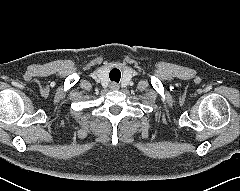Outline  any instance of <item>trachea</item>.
I'll return each instance as SVG.
<instances>
[{
  "mask_svg": "<svg viewBox=\"0 0 240 191\" xmlns=\"http://www.w3.org/2000/svg\"><path fill=\"white\" fill-rule=\"evenodd\" d=\"M120 71L118 69H113L110 72V79L116 81L115 79H120Z\"/></svg>",
  "mask_w": 240,
  "mask_h": 191,
  "instance_id": "1",
  "label": "trachea"
}]
</instances>
